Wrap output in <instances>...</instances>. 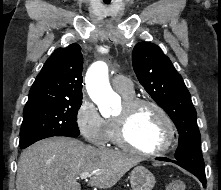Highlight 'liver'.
<instances>
[{
  "instance_id": "6515ba94",
  "label": "liver",
  "mask_w": 221,
  "mask_h": 190,
  "mask_svg": "<svg viewBox=\"0 0 221 190\" xmlns=\"http://www.w3.org/2000/svg\"><path fill=\"white\" fill-rule=\"evenodd\" d=\"M142 161L137 155L107 148H95L70 138L42 140L24 150L18 161L17 190H81L77 179L92 175L90 186L108 189Z\"/></svg>"
}]
</instances>
